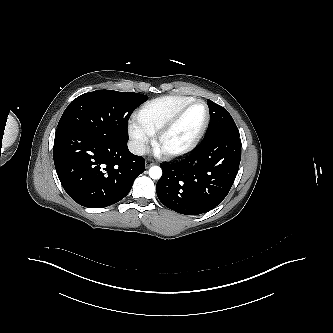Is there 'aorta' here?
I'll return each instance as SVG.
<instances>
[{"label":"aorta","mask_w":333,"mask_h":333,"mask_svg":"<svg viewBox=\"0 0 333 333\" xmlns=\"http://www.w3.org/2000/svg\"><path fill=\"white\" fill-rule=\"evenodd\" d=\"M149 176L152 179H159L162 176V169L159 166H152L149 169Z\"/></svg>","instance_id":"obj_1"}]
</instances>
